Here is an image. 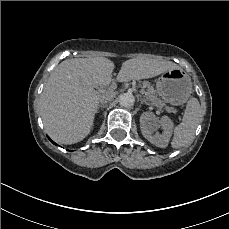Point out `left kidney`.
Listing matches in <instances>:
<instances>
[{
  "label": "left kidney",
  "instance_id": "left-kidney-1",
  "mask_svg": "<svg viewBox=\"0 0 229 229\" xmlns=\"http://www.w3.org/2000/svg\"><path fill=\"white\" fill-rule=\"evenodd\" d=\"M159 123L164 132L160 136H151V132L154 130V126ZM141 130L145 138H147L152 144L160 148H166L170 137L172 135V121L167 117H162L159 121L150 112H145L140 117Z\"/></svg>",
  "mask_w": 229,
  "mask_h": 229
}]
</instances>
